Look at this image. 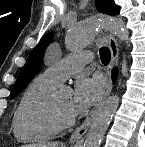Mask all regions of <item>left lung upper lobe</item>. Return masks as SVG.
Instances as JSON below:
<instances>
[{
	"mask_svg": "<svg viewBox=\"0 0 145 147\" xmlns=\"http://www.w3.org/2000/svg\"><path fill=\"white\" fill-rule=\"evenodd\" d=\"M96 7L98 11L109 15H117L119 13V7L115 5L114 0H96ZM52 38V33L46 34L32 50L12 89L11 99L16 97L40 71L43 54L51 43Z\"/></svg>",
	"mask_w": 145,
	"mask_h": 147,
	"instance_id": "1",
	"label": "left lung upper lobe"
}]
</instances>
